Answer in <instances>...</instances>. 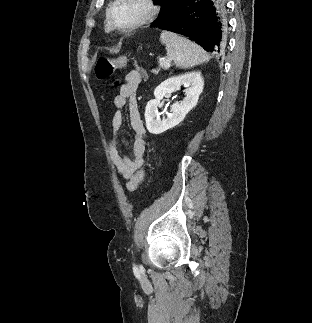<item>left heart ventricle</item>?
Wrapping results in <instances>:
<instances>
[{
    "label": "left heart ventricle",
    "instance_id": "1",
    "mask_svg": "<svg viewBox=\"0 0 312 323\" xmlns=\"http://www.w3.org/2000/svg\"><path fill=\"white\" fill-rule=\"evenodd\" d=\"M113 18H145L144 7H141V0H129L119 2L118 7H112Z\"/></svg>",
    "mask_w": 312,
    "mask_h": 323
}]
</instances>
